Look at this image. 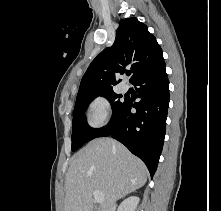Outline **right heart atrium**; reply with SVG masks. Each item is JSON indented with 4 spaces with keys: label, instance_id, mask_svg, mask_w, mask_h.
Masks as SVG:
<instances>
[{
    "label": "right heart atrium",
    "instance_id": "d8ad5b80",
    "mask_svg": "<svg viewBox=\"0 0 221 211\" xmlns=\"http://www.w3.org/2000/svg\"><path fill=\"white\" fill-rule=\"evenodd\" d=\"M110 116V103L104 96L93 98L87 108L88 123L92 128L104 126Z\"/></svg>",
    "mask_w": 221,
    "mask_h": 211
}]
</instances>
